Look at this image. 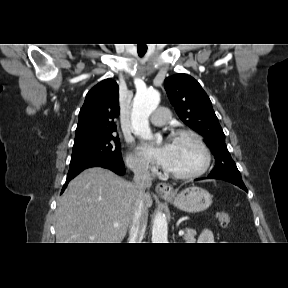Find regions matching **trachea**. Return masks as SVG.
Returning a JSON list of instances; mask_svg holds the SVG:
<instances>
[{
  "instance_id": "1",
  "label": "trachea",
  "mask_w": 288,
  "mask_h": 288,
  "mask_svg": "<svg viewBox=\"0 0 288 288\" xmlns=\"http://www.w3.org/2000/svg\"><path fill=\"white\" fill-rule=\"evenodd\" d=\"M146 51H147V48H143V49L138 48V55L140 57H143L145 55Z\"/></svg>"
}]
</instances>
